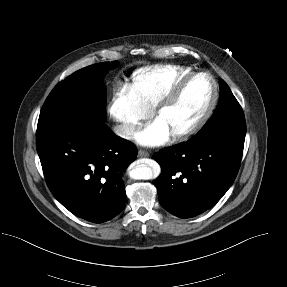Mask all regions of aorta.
<instances>
[{
  "label": "aorta",
  "instance_id": "aorta-1",
  "mask_svg": "<svg viewBox=\"0 0 287 287\" xmlns=\"http://www.w3.org/2000/svg\"><path fill=\"white\" fill-rule=\"evenodd\" d=\"M160 173V166L157 163H147L136 166L130 171V177L135 180H149Z\"/></svg>",
  "mask_w": 287,
  "mask_h": 287
}]
</instances>
